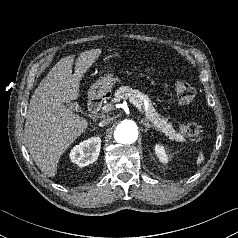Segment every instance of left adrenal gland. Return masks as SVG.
<instances>
[{
  "mask_svg": "<svg viewBox=\"0 0 238 238\" xmlns=\"http://www.w3.org/2000/svg\"><path fill=\"white\" fill-rule=\"evenodd\" d=\"M142 123L145 125V131H148L150 128H153V129H156V128H154L153 127V125H151L150 123H149V121L147 120V119H142Z\"/></svg>",
  "mask_w": 238,
  "mask_h": 238,
  "instance_id": "a2214340",
  "label": "left adrenal gland"
}]
</instances>
